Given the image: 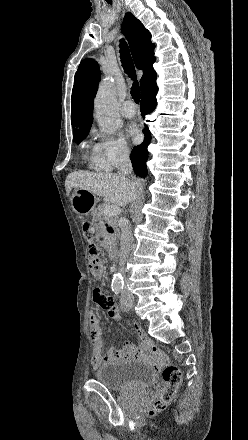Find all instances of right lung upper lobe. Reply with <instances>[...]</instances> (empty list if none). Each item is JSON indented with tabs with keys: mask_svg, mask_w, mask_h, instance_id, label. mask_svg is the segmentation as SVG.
Listing matches in <instances>:
<instances>
[{
	"mask_svg": "<svg viewBox=\"0 0 248 440\" xmlns=\"http://www.w3.org/2000/svg\"><path fill=\"white\" fill-rule=\"evenodd\" d=\"M123 33L128 40L135 65L143 69L140 80L141 93L152 82H156L153 69L155 45L151 34L131 13H127L122 23ZM100 71L93 59L83 60L74 77L71 104V123L74 134L90 130L93 121V97L98 89Z\"/></svg>",
	"mask_w": 248,
	"mask_h": 440,
	"instance_id": "1",
	"label": "right lung upper lobe"
}]
</instances>
